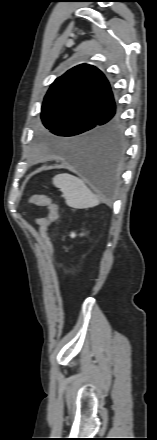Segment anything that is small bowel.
Listing matches in <instances>:
<instances>
[{"label": "small bowel", "instance_id": "c3829d8e", "mask_svg": "<svg viewBox=\"0 0 157 440\" xmlns=\"http://www.w3.org/2000/svg\"><path fill=\"white\" fill-rule=\"evenodd\" d=\"M37 223L41 226L43 225H49V221L46 218H38Z\"/></svg>", "mask_w": 157, "mask_h": 440}]
</instances>
